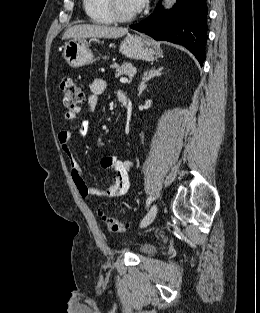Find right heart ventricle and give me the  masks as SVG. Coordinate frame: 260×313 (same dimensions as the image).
<instances>
[{
    "label": "right heart ventricle",
    "mask_w": 260,
    "mask_h": 313,
    "mask_svg": "<svg viewBox=\"0 0 260 313\" xmlns=\"http://www.w3.org/2000/svg\"><path fill=\"white\" fill-rule=\"evenodd\" d=\"M83 8L94 23L98 24H110L112 19L106 9L105 0H82Z\"/></svg>",
    "instance_id": "e07e8e85"
}]
</instances>
